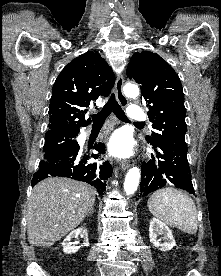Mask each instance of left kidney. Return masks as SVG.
<instances>
[{"instance_id": "left-kidney-1", "label": "left kidney", "mask_w": 221, "mask_h": 276, "mask_svg": "<svg viewBox=\"0 0 221 276\" xmlns=\"http://www.w3.org/2000/svg\"><path fill=\"white\" fill-rule=\"evenodd\" d=\"M159 235H163L164 243H160V239H157ZM149 238L151 243L161 251H169L176 246V242L169 227L156 218H152L150 221Z\"/></svg>"}]
</instances>
